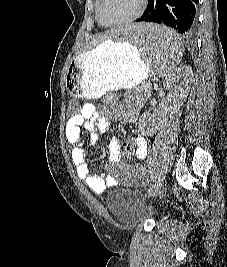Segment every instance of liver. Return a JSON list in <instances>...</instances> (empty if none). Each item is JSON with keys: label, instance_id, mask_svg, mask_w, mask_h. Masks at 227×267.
Wrapping results in <instances>:
<instances>
[{"label": "liver", "instance_id": "6515ba94", "mask_svg": "<svg viewBox=\"0 0 227 267\" xmlns=\"http://www.w3.org/2000/svg\"><path fill=\"white\" fill-rule=\"evenodd\" d=\"M117 33H120V30H116L115 29H112L110 31H107L106 33H104L103 35H100L98 37H96L94 40H93V44L94 45H98L100 43H103L109 39H112L114 38V36H117Z\"/></svg>", "mask_w": 227, "mask_h": 267}]
</instances>
